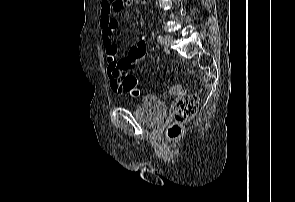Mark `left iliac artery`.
<instances>
[{
    "label": "left iliac artery",
    "mask_w": 295,
    "mask_h": 202,
    "mask_svg": "<svg viewBox=\"0 0 295 202\" xmlns=\"http://www.w3.org/2000/svg\"><path fill=\"white\" fill-rule=\"evenodd\" d=\"M157 41H158L159 43H162V42H163V37H162L161 35H158V36H157Z\"/></svg>",
    "instance_id": "left-iliac-artery-1"
}]
</instances>
